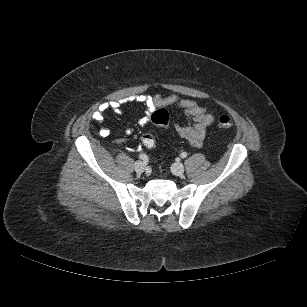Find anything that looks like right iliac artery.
<instances>
[{
	"label": "right iliac artery",
	"instance_id": "1",
	"mask_svg": "<svg viewBox=\"0 0 307 307\" xmlns=\"http://www.w3.org/2000/svg\"><path fill=\"white\" fill-rule=\"evenodd\" d=\"M139 158L143 161H148V156L146 154L139 155Z\"/></svg>",
	"mask_w": 307,
	"mask_h": 307
}]
</instances>
